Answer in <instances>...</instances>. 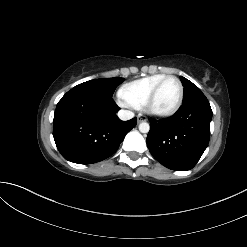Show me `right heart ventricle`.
Segmentation results:
<instances>
[{"mask_svg":"<svg viewBox=\"0 0 247 247\" xmlns=\"http://www.w3.org/2000/svg\"><path fill=\"white\" fill-rule=\"evenodd\" d=\"M166 74H154L129 82L121 88V96L133 107H143L148 95Z\"/></svg>","mask_w":247,"mask_h":247,"instance_id":"1","label":"right heart ventricle"}]
</instances>
